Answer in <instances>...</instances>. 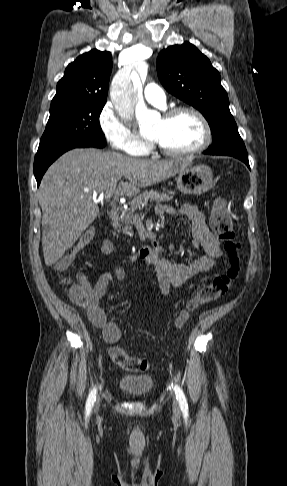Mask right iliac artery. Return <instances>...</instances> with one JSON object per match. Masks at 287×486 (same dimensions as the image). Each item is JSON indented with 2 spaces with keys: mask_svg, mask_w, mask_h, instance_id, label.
I'll use <instances>...</instances> for the list:
<instances>
[{
  "mask_svg": "<svg viewBox=\"0 0 287 486\" xmlns=\"http://www.w3.org/2000/svg\"><path fill=\"white\" fill-rule=\"evenodd\" d=\"M96 394H97V389L93 388V390L89 394V397H88L87 403H86V414L87 415H89L91 410H92L93 404L96 400Z\"/></svg>",
  "mask_w": 287,
  "mask_h": 486,
  "instance_id": "obj_1",
  "label": "right iliac artery"
}]
</instances>
